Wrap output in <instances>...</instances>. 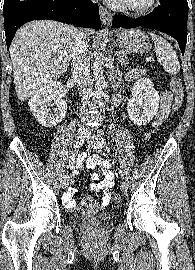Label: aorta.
<instances>
[{
	"label": "aorta",
	"mask_w": 195,
	"mask_h": 270,
	"mask_svg": "<svg viewBox=\"0 0 195 270\" xmlns=\"http://www.w3.org/2000/svg\"><path fill=\"white\" fill-rule=\"evenodd\" d=\"M93 74L95 79L96 85V94L99 104H101L103 96H104V89H105V77L103 75V68H102V60H101V53L96 56L94 63H93Z\"/></svg>",
	"instance_id": "1"
}]
</instances>
